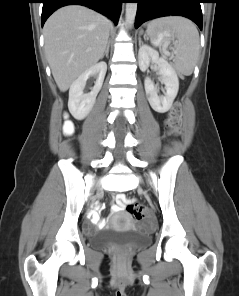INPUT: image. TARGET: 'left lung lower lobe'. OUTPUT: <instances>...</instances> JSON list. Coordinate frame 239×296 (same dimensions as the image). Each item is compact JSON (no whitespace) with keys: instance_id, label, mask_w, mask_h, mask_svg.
<instances>
[{"instance_id":"1","label":"left lung lower lobe","mask_w":239,"mask_h":296,"mask_svg":"<svg viewBox=\"0 0 239 296\" xmlns=\"http://www.w3.org/2000/svg\"><path fill=\"white\" fill-rule=\"evenodd\" d=\"M138 3L135 28L153 18L169 15L184 16L202 30V0H133Z\"/></svg>"}]
</instances>
